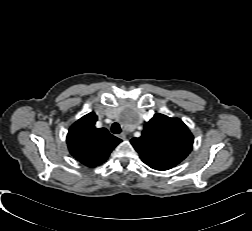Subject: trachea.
<instances>
[{"instance_id":"3493384b","label":"trachea","mask_w":252,"mask_h":231,"mask_svg":"<svg viewBox=\"0 0 252 231\" xmlns=\"http://www.w3.org/2000/svg\"><path fill=\"white\" fill-rule=\"evenodd\" d=\"M111 132L114 133V134H119L121 133V127L118 123H113L112 126H111Z\"/></svg>"}]
</instances>
